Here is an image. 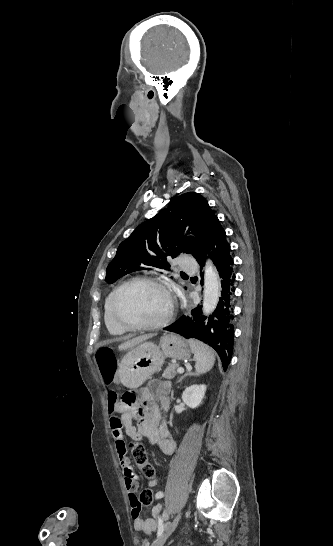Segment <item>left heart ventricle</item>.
I'll list each match as a JSON object with an SVG mask.
<instances>
[{"instance_id":"obj_1","label":"left heart ventricle","mask_w":333,"mask_h":546,"mask_svg":"<svg viewBox=\"0 0 333 546\" xmlns=\"http://www.w3.org/2000/svg\"><path fill=\"white\" fill-rule=\"evenodd\" d=\"M170 308L167 294L149 283H134L120 295L118 311L130 323H153L163 319Z\"/></svg>"}]
</instances>
